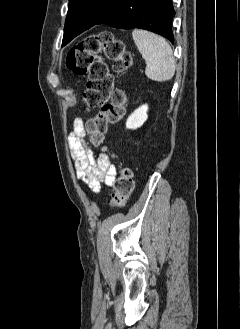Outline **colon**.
Masks as SVG:
<instances>
[{
    "label": "colon",
    "instance_id": "colon-1",
    "mask_svg": "<svg viewBox=\"0 0 240 329\" xmlns=\"http://www.w3.org/2000/svg\"><path fill=\"white\" fill-rule=\"evenodd\" d=\"M100 54L113 61V70L117 73L127 71L132 65L131 54L109 32L85 37L70 50L66 65L74 74L87 76L84 104L87 109L100 108V111L86 121L85 128L91 144L104 148L108 127L123 118L127 95L122 88L114 86L113 76ZM133 187L132 170L122 168L114 183L111 205L116 208L125 206Z\"/></svg>",
    "mask_w": 240,
    "mask_h": 329
}]
</instances>
